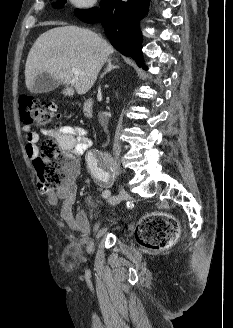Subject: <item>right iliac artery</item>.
<instances>
[{"mask_svg": "<svg viewBox=\"0 0 233 328\" xmlns=\"http://www.w3.org/2000/svg\"><path fill=\"white\" fill-rule=\"evenodd\" d=\"M87 164L95 182L100 187L106 188L109 185L110 180L109 173L106 171L109 168V164L104 158L102 152L98 150L88 152ZM102 196L108 198L110 196V191L105 189Z\"/></svg>", "mask_w": 233, "mask_h": 328, "instance_id": "right-iliac-artery-1", "label": "right iliac artery"}]
</instances>
